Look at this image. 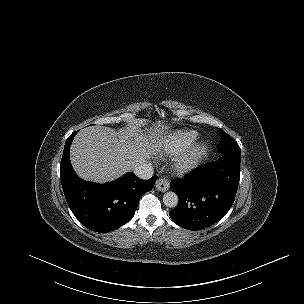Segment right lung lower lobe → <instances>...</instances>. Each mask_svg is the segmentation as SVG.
I'll list each match as a JSON object with an SVG mask.
<instances>
[{
  "mask_svg": "<svg viewBox=\"0 0 304 304\" xmlns=\"http://www.w3.org/2000/svg\"><path fill=\"white\" fill-rule=\"evenodd\" d=\"M73 132L66 140L60 163V178L67 203L78 221L88 229L106 233L126 224L135 214L143 194L150 191L157 176L142 180L133 173L106 184L81 180L69 158Z\"/></svg>",
  "mask_w": 304,
  "mask_h": 304,
  "instance_id": "right-lung-lower-lobe-1",
  "label": "right lung lower lobe"
}]
</instances>
